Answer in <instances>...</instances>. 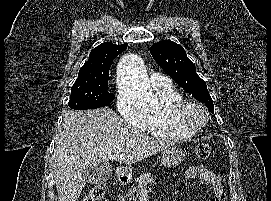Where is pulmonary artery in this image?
Returning a JSON list of instances; mask_svg holds the SVG:
<instances>
[{
    "instance_id": "e3ab8cb5",
    "label": "pulmonary artery",
    "mask_w": 271,
    "mask_h": 201,
    "mask_svg": "<svg viewBox=\"0 0 271 201\" xmlns=\"http://www.w3.org/2000/svg\"><path fill=\"white\" fill-rule=\"evenodd\" d=\"M150 82L153 87H162L169 86L171 80L161 73H153L151 75Z\"/></svg>"
}]
</instances>
